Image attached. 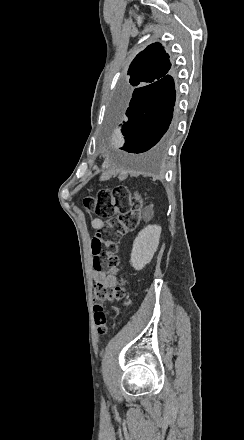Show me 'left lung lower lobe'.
<instances>
[{
    "instance_id": "0a47b994",
    "label": "left lung lower lobe",
    "mask_w": 244,
    "mask_h": 440,
    "mask_svg": "<svg viewBox=\"0 0 244 440\" xmlns=\"http://www.w3.org/2000/svg\"><path fill=\"white\" fill-rule=\"evenodd\" d=\"M175 96L174 80L169 73L149 85L120 94L116 117L123 120L125 146L121 149L133 153L163 149L171 135Z\"/></svg>"
}]
</instances>
